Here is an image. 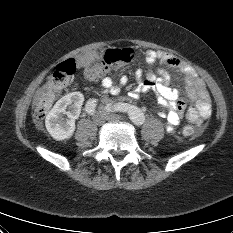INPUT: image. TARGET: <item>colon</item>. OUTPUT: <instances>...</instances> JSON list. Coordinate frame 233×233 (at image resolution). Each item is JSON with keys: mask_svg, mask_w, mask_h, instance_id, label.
I'll return each mask as SVG.
<instances>
[{"mask_svg": "<svg viewBox=\"0 0 233 233\" xmlns=\"http://www.w3.org/2000/svg\"><path fill=\"white\" fill-rule=\"evenodd\" d=\"M133 56L134 52L129 48L109 49L100 63L92 64L85 70V75L89 80L97 81L111 69L131 62ZM75 72L76 63L73 59H68L56 67L55 71L36 93L34 115L37 119L45 117L58 92ZM202 132L203 128L199 125H187L183 129V135L187 138L196 137Z\"/></svg>", "mask_w": 233, "mask_h": 233, "instance_id": "obj_1", "label": "colon"}]
</instances>
